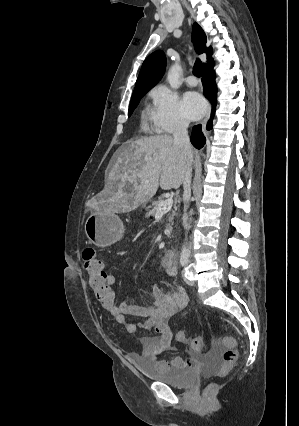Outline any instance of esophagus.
<instances>
[{"mask_svg":"<svg viewBox=\"0 0 299 426\" xmlns=\"http://www.w3.org/2000/svg\"><path fill=\"white\" fill-rule=\"evenodd\" d=\"M210 112H211V106H210V104H209V106H208V113H207V115H206V118H205V120H204V123H206V121L209 119V117H210Z\"/></svg>","mask_w":299,"mask_h":426,"instance_id":"esophagus-1","label":"esophagus"}]
</instances>
